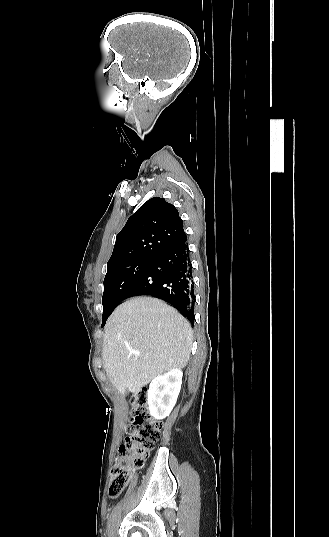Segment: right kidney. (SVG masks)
Listing matches in <instances>:
<instances>
[{
    "mask_svg": "<svg viewBox=\"0 0 329 537\" xmlns=\"http://www.w3.org/2000/svg\"><path fill=\"white\" fill-rule=\"evenodd\" d=\"M183 372L175 368L155 377L147 391V403L153 418L161 420L169 416L181 389Z\"/></svg>",
    "mask_w": 329,
    "mask_h": 537,
    "instance_id": "ca27d5eb",
    "label": "right kidney"
}]
</instances>
